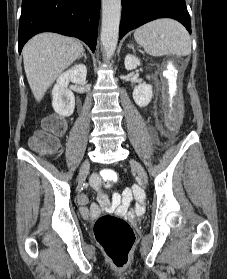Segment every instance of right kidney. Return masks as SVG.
<instances>
[{
    "label": "right kidney",
    "mask_w": 227,
    "mask_h": 279,
    "mask_svg": "<svg viewBox=\"0 0 227 279\" xmlns=\"http://www.w3.org/2000/svg\"><path fill=\"white\" fill-rule=\"evenodd\" d=\"M86 75V66L78 64L72 66L58 77L52 90V106L57 114L64 117L73 114L75 109V97L72 91L67 87L70 81L77 84L85 82Z\"/></svg>",
    "instance_id": "obj_1"
}]
</instances>
